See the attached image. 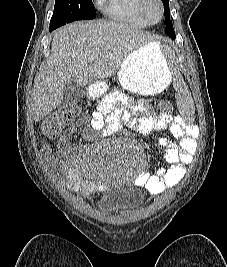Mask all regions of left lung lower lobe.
<instances>
[{
    "mask_svg": "<svg viewBox=\"0 0 227 267\" xmlns=\"http://www.w3.org/2000/svg\"><path fill=\"white\" fill-rule=\"evenodd\" d=\"M166 35H168L171 39H175V32L173 26H167L165 29Z\"/></svg>",
    "mask_w": 227,
    "mask_h": 267,
    "instance_id": "0a47b994",
    "label": "left lung lower lobe"
}]
</instances>
